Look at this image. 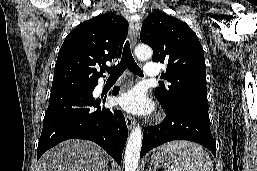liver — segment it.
I'll return each mask as SVG.
<instances>
[{
	"instance_id": "obj_1",
	"label": "liver",
	"mask_w": 257,
	"mask_h": 171,
	"mask_svg": "<svg viewBox=\"0 0 257 171\" xmlns=\"http://www.w3.org/2000/svg\"><path fill=\"white\" fill-rule=\"evenodd\" d=\"M109 157L97 144L86 140H66L45 152L38 171H106Z\"/></svg>"
}]
</instances>
